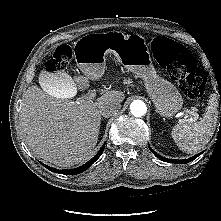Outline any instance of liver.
Listing matches in <instances>:
<instances>
[{"label":"liver","mask_w":221,"mask_h":221,"mask_svg":"<svg viewBox=\"0 0 221 221\" xmlns=\"http://www.w3.org/2000/svg\"><path fill=\"white\" fill-rule=\"evenodd\" d=\"M67 78L66 94L52 95V74L42 71L38 86L24 94L20 123L28 147L40 158L59 167H71L92 154L98 140L101 109L109 103H121V91H109L93 100L88 93L75 101L71 96L89 87L88 78Z\"/></svg>","instance_id":"obj_1"}]
</instances>
